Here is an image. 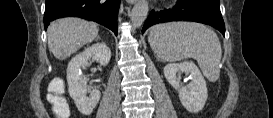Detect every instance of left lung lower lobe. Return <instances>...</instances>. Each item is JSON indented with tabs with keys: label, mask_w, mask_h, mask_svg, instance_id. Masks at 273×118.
<instances>
[{
	"label": "left lung lower lobe",
	"mask_w": 273,
	"mask_h": 118,
	"mask_svg": "<svg viewBox=\"0 0 273 118\" xmlns=\"http://www.w3.org/2000/svg\"><path fill=\"white\" fill-rule=\"evenodd\" d=\"M170 21H193L210 25L225 36V24L220 8L204 0H177L173 9L152 10L144 23L142 33L150 26Z\"/></svg>",
	"instance_id": "1"
}]
</instances>
